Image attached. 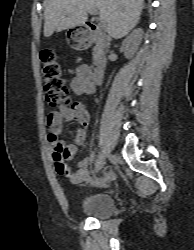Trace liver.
<instances>
[{
	"instance_id": "6515ba94",
	"label": "liver",
	"mask_w": 194,
	"mask_h": 250,
	"mask_svg": "<svg viewBox=\"0 0 194 250\" xmlns=\"http://www.w3.org/2000/svg\"><path fill=\"white\" fill-rule=\"evenodd\" d=\"M98 10L115 39L127 35L139 22L143 0H48L44 36L84 25L89 10Z\"/></svg>"
}]
</instances>
